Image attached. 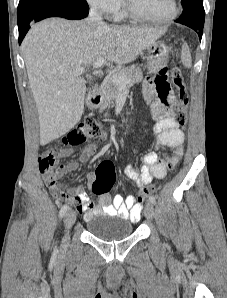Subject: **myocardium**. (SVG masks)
Segmentation results:
<instances>
[{"mask_svg": "<svg viewBox=\"0 0 227 298\" xmlns=\"http://www.w3.org/2000/svg\"><path fill=\"white\" fill-rule=\"evenodd\" d=\"M171 3H172L171 13L163 18H151L138 13L131 6L128 0H123V11L126 16L139 22L152 23V24H165L174 20L178 16L180 11L179 3L177 0H171Z\"/></svg>", "mask_w": 227, "mask_h": 298, "instance_id": "1", "label": "myocardium"}]
</instances>
